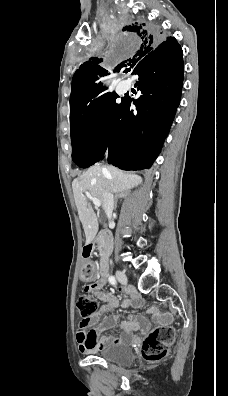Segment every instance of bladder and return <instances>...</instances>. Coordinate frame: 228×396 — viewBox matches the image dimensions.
I'll return each instance as SVG.
<instances>
[{
  "label": "bladder",
  "mask_w": 228,
  "mask_h": 396,
  "mask_svg": "<svg viewBox=\"0 0 228 396\" xmlns=\"http://www.w3.org/2000/svg\"><path fill=\"white\" fill-rule=\"evenodd\" d=\"M94 354L107 362L118 365L131 364L135 359V354L132 347L124 343L107 345L99 350H96Z\"/></svg>",
  "instance_id": "31cf9c89"
}]
</instances>
